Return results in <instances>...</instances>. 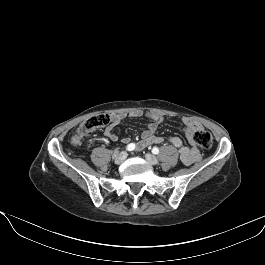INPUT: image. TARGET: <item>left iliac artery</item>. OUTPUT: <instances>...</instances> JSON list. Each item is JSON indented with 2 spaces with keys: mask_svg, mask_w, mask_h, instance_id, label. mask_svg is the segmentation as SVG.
<instances>
[{
  "mask_svg": "<svg viewBox=\"0 0 265 265\" xmlns=\"http://www.w3.org/2000/svg\"><path fill=\"white\" fill-rule=\"evenodd\" d=\"M152 153H153V154H158V153H159V149H158L157 147H154V148L152 149Z\"/></svg>",
  "mask_w": 265,
  "mask_h": 265,
  "instance_id": "left-iliac-artery-1",
  "label": "left iliac artery"
}]
</instances>
